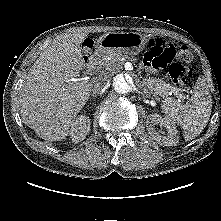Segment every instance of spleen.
<instances>
[{"instance_id":"spleen-1","label":"spleen","mask_w":221,"mask_h":221,"mask_svg":"<svg viewBox=\"0 0 221 221\" xmlns=\"http://www.w3.org/2000/svg\"><path fill=\"white\" fill-rule=\"evenodd\" d=\"M162 108L167 120L181 126L185 140H192L207 125L211 115L212 100L208 87L203 81H198L191 99L186 104L181 105L175 99L167 98L163 101Z\"/></svg>"}]
</instances>
